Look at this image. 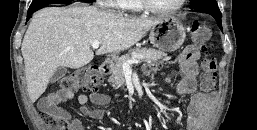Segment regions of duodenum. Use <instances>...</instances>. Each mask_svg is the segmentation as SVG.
Returning a JSON list of instances; mask_svg holds the SVG:
<instances>
[{"label": "duodenum", "instance_id": "obj_1", "mask_svg": "<svg viewBox=\"0 0 257 130\" xmlns=\"http://www.w3.org/2000/svg\"><path fill=\"white\" fill-rule=\"evenodd\" d=\"M111 68H112V63L110 60H104L101 64H100V72L103 74V75H107L110 73L111 71Z\"/></svg>", "mask_w": 257, "mask_h": 130}]
</instances>
